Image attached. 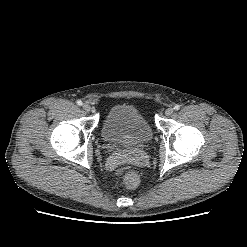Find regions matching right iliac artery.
Instances as JSON below:
<instances>
[{
	"instance_id": "1",
	"label": "right iliac artery",
	"mask_w": 247,
	"mask_h": 247,
	"mask_svg": "<svg viewBox=\"0 0 247 247\" xmlns=\"http://www.w3.org/2000/svg\"><path fill=\"white\" fill-rule=\"evenodd\" d=\"M82 104H83V103H82L81 100H78V101H77V105L81 106Z\"/></svg>"
}]
</instances>
